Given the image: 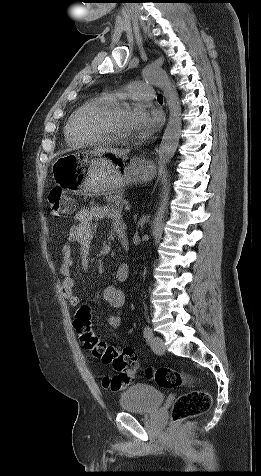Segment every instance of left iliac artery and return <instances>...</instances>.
<instances>
[{"label": "left iliac artery", "mask_w": 261, "mask_h": 476, "mask_svg": "<svg viewBox=\"0 0 261 476\" xmlns=\"http://www.w3.org/2000/svg\"><path fill=\"white\" fill-rule=\"evenodd\" d=\"M143 334L147 341H150L153 337V331L149 326L144 327Z\"/></svg>", "instance_id": "1"}]
</instances>
